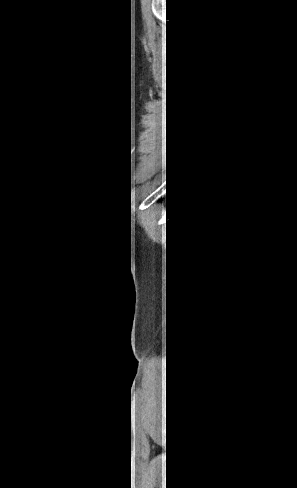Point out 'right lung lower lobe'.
Wrapping results in <instances>:
<instances>
[{"label": "right lung lower lobe", "instance_id": "obj_1", "mask_svg": "<svg viewBox=\"0 0 297 488\" xmlns=\"http://www.w3.org/2000/svg\"><path fill=\"white\" fill-rule=\"evenodd\" d=\"M170 193H171V189H169V195H170ZM167 194H168V190H167ZM162 200H163V197H162V196H160V198H159V202H160V204H161V205H162ZM167 210H168V207H167V205H166V211H167Z\"/></svg>", "mask_w": 297, "mask_h": 488}]
</instances>
